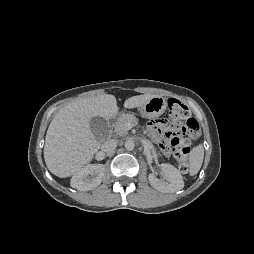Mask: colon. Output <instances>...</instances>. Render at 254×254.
Listing matches in <instances>:
<instances>
[{
  "mask_svg": "<svg viewBox=\"0 0 254 254\" xmlns=\"http://www.w3.org/2000/svg\"><path fill=\"white\" fill-rule=\"evenodd\" d=\"M167 105L169 119L165 121L174 127L165 130L163 136L172 146L173 157L178 161L180 170L186 172L190 143L200 135V126L196 119L190 117L189 108L179 100L171 98Z\"/></svg>",
  "mask_w": 254,
  "mask_h": 254,
  "instance_id": "1",
  "label": "colon"
}]
</instances>
